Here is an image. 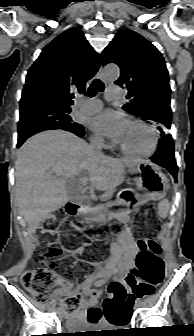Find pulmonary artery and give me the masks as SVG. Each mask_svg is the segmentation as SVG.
<instances>
[{"instance_id": "e3ab8cb5", "label": "pulmonary artery", "mask_w": 194, "mask_h": 336, "mask_svg": "<svg viewBox=\"0 0 194 336\" xmlns=\"http://www.w3.org/2000/svg\"><path fill=\"white\" fill-rule=\"evenodd\" d=\"M105 97L107 100H114L120 97V89L118 87H109L106 91ZM77 111L80 114L92 115L100 111L102 102L98 99H78Z\"/></svg>"}]
</instances>
